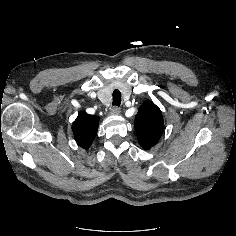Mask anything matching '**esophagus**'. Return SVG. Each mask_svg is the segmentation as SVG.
<instances>
[{"label":"esophagus","instance_id":"obj_1","mask_svg":"<svg viewBox=\"0 0 236 236\" xmlns=\"http://www.w3.org/2000/svg\"><path fill=\"white\" fill-rule=\"evenodd\" d=\"M121 112L120 108L117 107V106H113L111 109H110V113L112 115H119Z\"/></svg>","mask_w":236,"mask_h":236}]
</instances>
